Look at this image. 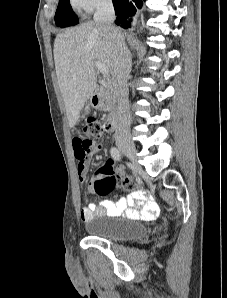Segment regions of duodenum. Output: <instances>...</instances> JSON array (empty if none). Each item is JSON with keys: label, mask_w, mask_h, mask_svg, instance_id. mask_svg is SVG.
Masks as SVG:
<instances>
[{"label": "duodenum", "mask_w": 227, "mask_h": 298, "mask_svg": "<svg viewBox=\"0 0 227 298\" xmlns=\"http://www.w3.org/2000/svg\"><path fill=\"white\" fill-rule=\"evenodd\" d=\"M92 104L95 107H103L111 102L110 93L107 90L97 89L94 91ZM118 116L116 110L112 111L104 121V128L107 132H113L117 127Z\"/></svg>", "instance_id": "410a0bca"}]
</instances>
